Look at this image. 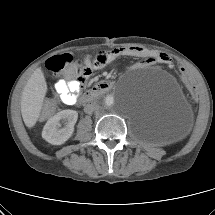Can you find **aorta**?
Listing matches in <instances>:
<instances>
[{
    "label": "aorta",
    "instance_id": "762f6f07",
    "mask_svg": "<svg viewBox=\"0 0 215 215\" xmlns=\"http://www.w3.org/2000/svg\"><path fill=\"white\" fill-rule=\"evenodd\" d=\"M96 103L99 109L110 110L116 108L117 98L112 94H107L100 96Z\"/></svg>",
    "mask_w": 215,
    "mask_h": 215
}]
</instances>
